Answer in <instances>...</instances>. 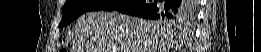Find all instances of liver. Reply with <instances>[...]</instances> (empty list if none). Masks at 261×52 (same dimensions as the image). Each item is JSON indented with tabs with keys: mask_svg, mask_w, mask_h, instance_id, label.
I'll return each mask as SVG.
<instances>
[{
	"mask_svg": "<svg viewBox=\"0 0 261 52\" xmlns=\"http://www.w3.org/2000/svg\"><path fill=\"white\" fill-rule=\"evenodd\" d=\"M72 52H172L175 32L163 21L118 12H88L76 20Z\"/></svg>",
	"mask_w": 261,
	"mask_h": 52,
	"instance_id": "liver-1",
	"label": "liver"
}]
</instances>
